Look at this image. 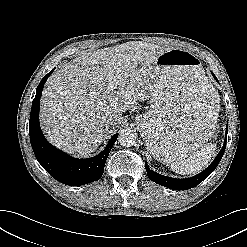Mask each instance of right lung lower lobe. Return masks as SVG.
<instances>
[{
  "label": "right lung lower lobe",
  "instance_id": "right-lung-lower-lobe-1",
  "mask_svg": "<svg viewBox=\"0 0 247 247\" xmlns=\"http://www.w3.org/2000/svg\"><path fill=\"white\" fill-rule=\"evenodd\" d=\"M54 69L41 80L32 103L29 128L32 149L38 162L54 179L70 186L84 185L101 178L107 157L118 134L108 141L100 154L87 159L73 158L52 146L45 139L39 126V103L44 83Z\"/></svg>",
  "mask_w": 247,
  "mask_h": 247
}]
</instances>
